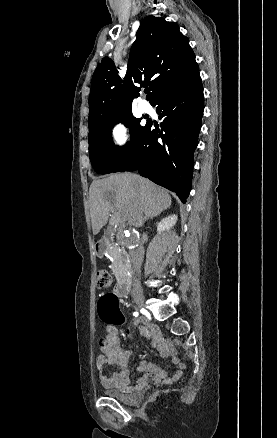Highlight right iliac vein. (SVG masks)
Listing matches in <instances>:
<instances>
[{"instance_id":"obj_1","label":"right iliac vein","mask_w":277,"mask_h":438,"mask_svg":"<svg viewBox=\"0 0 277 438\" xmlns=\"http://www.w3.org/2000/svg\"><path fill=\"white\" fill-rule=\"evenodd\" d=\"M138 308L143 309L145 307L144 297L142 295H137L134 299Z\"/></svg>"}]
</instances>
